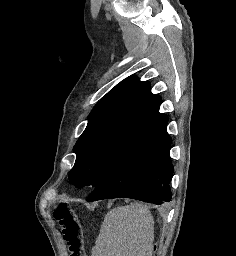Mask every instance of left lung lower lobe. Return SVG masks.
<instances>
[{"label": "left lung lower lobe", "mask_w": 236, "mask_h": 256, "mask_svg": "<svg viewBox=\"0 0 236 256\" xmlns=\"http://www.w3.org/2000/svg\"><path fill=\"white\" fill-rule=\"evenodd\" d=\"M168 117L157 111L131 137L115 165L95 187L88 202L133 198L161 204L170 201L173 175L169 151Z\"/></svg>", "instance_id": "obj_1"}]
</instances>
